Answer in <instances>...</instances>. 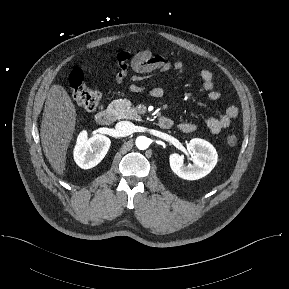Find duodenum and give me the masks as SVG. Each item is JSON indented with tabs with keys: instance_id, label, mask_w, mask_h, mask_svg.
<instances>
[{
	"instance_id": "410a0bca",
	"label": "duodenum",
	"mask_w": 289,
	"mask_h": 289,
	"mask_svg": "<svg viewBox=\"0 0 289 289\" xmlns=\"http://www.w3.org/2000/svg\"><path fill=\"white\" fill-rule=\"evenodd\" d=\"M95 119L99 125L108 126L113 121V113L108 109H104L96 114ZM158 124L162 129H170L173 125V121L168 117H161L159 118Z\"/></svg>"
}]
</instances>
